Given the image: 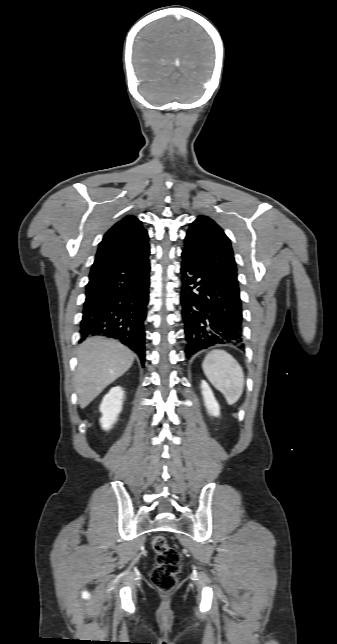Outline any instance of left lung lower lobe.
Segmentation results:
<instances>
[{
    "label": "left lung lower lobe",
    "instance_id": "0a47b994",
    "mask_svg": "<svg viewBox=\"0 0 337 644\" xmlns=\"http://www.w3.org/2000/svg\"><path fill=\"white\" fill-rule=\"evenodd\" d=\"M182 259L186 357L218 344L244 347L240 296L204 265L186 255Z\"/></svg>",
    "mask_w": 337,
    "mask_h": 644
}]
</instances>
